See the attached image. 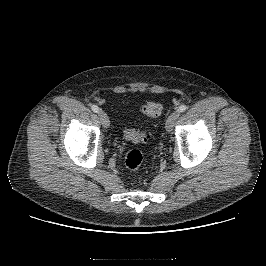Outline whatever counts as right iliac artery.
Segmentation results:
<instances>
[{
  "mask_svg": "<svg viewBox=\"0 0 266 266\" xmlns=\"http://www.w3.org/2000/svg\"><path fill=\"white\" fill-rule=\"evenodd\" d=\"M91 109L94 111V112H99V108H98V106H96V105H92L91 106Z\"/></svg>",
  "mask_w": 266,
  "mask_h": 266,
  "instance_id": "1",
  "label": "right iliac artery"
}]
</instances>
